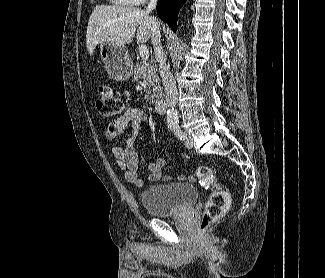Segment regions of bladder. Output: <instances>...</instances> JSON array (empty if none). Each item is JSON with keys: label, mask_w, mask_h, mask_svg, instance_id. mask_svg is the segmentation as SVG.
Instances as JSON below:
<instances>
[{"label": "bladder", "mask_w": 325, "mask_h": 278, "mask_svg": "<svg viewBox=\"0 0 325 278\" xmlns=\"http://www.w3.org/2000/svg\"><path fill=\"white\" fill-rule=\"evenodd\" d=\"M197 198V188L185 182L152 185L140 194L141 204L152 217L181 213L192 206Z\"/></svg>", "instance_id": "bladder-1"}]
</instances>
